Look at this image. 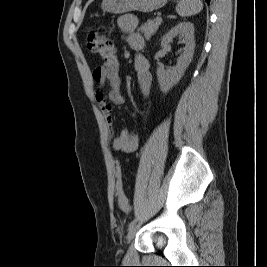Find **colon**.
<instances>
[{
	"mask_svg": "<svg viewBox=\"0 0 267 267\" xmlns=\"http://www.w3.org/2000/svg\"><path fill=\"white\" fill-rule=\"evenodd\" d=\"M87 47L95 55L103 58L105 61L111 60L115 54L114 43L103 33L91 31L87 36ZM115 188L116 198L119 207L124 212H130L131 205L123 190L122 170L118 162L115 166Z\"/></svg>",
	"mask_w": 267,
	"mask_h": 267,
	"instance_id": "5ec220e1",
	"label": "colon"
}]
</instances>
